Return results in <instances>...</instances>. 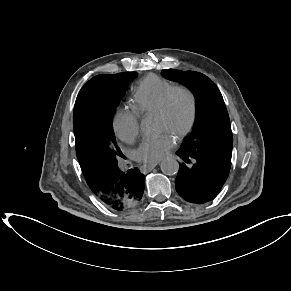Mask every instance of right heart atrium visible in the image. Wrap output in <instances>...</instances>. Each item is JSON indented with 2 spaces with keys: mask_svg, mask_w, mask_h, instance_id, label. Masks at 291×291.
I'll list each match as a JSON object with an SVG mask.
<instances>
[{
  "mask_svg": "<svg viewBox=\"0 0 291 291\" xmlns=\"http://www.w3.org/2000/svg\"><path fill=\"white\" fill-rule=\"evenodd\" d=\"M112 127L120 140L131 143L140 133L139 116L127 108H118L112 119Z\"/></svg>",
  "mask_w": 291,
  "mask_h": 291,
  "instance_id": "obj_1",
  "label": "right heart atrium"
}]
</instances>
